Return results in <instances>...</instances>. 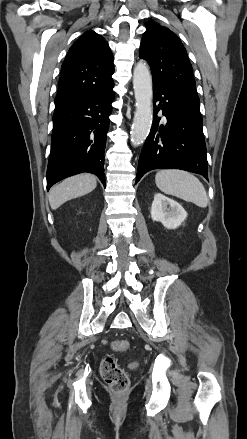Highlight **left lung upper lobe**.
Masks as SVG:
<instances>
[{"label": "left lung upper lobe", "mask_w": 247, "mask_h": 439, "mask_svg": "<svg viewBox=\"0 0 247 439\" xmlns=\"http://www.w3.org/2000/svg\"><path fill=\"white\" fill-rule=\"evenodd\" d=\"M143 34L139 56L151 67L153 84L200 105L192 66L180 39L167 27L150 22Z\"/></svg>", "instance_id": "1"}]
</instances>
